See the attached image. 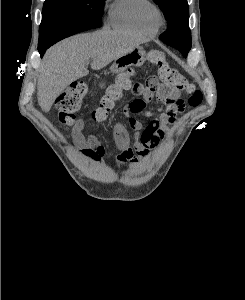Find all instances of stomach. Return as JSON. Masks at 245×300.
Wrapping results in <instances>:
<instances>
[{
    "instance_id": "1",
    "label": "stomach",
    "mask_w": 245,
    "mask_h": 300,
    "mask_svg": "<svg viewBox=\"0 0 245 300\" xmlns=\"http://www.w3.org/2000/svg\"><path fill=\"white\" fill-rule=\"evenodd\" d=\"M145 51L141 47H136L126 54L115 59L110 67L114 73L124 72L129 67H140L145 62Z\"/></svg>"
}]
</instances>
